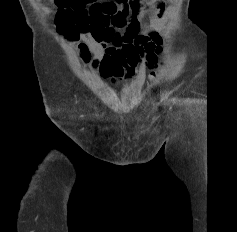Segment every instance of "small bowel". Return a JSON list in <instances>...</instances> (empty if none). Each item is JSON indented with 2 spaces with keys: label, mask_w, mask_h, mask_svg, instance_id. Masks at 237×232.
Returning a JSON list of instances; mask_svg holds the SVG:
<instances>
[{
  "label": "small bowel",
  "mask_w": 237,
  "mask_h": 232,
  "mask_svg": "<svg viewBox=\"0 0 237 232\" xmlns=\"http://www.w3.org/2000/svg\"><path fill=\"white\" fill-rule=\"evenodd\" d=\"M165 1L146 0L142 8L131 14L110 18L98 34L67 38L78 44L83 59L92 60L102 77L117 79L126 74V80L131 81L140 65L153 69L158 62L163 44L161 30L170 14ZM144 11L149 12V21L145 24L141 22Z\"/></svg>",
  "instance_id": "1"
}]
</instances>
